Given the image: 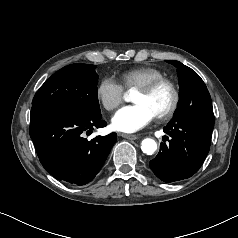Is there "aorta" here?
<instances>
[{
	"mask_svg": "<svg viewBox=\"0 0 238 238\" xmlns=\"http://www.w3.org/2000/svg\"><path fill=\"white\" fill-rule=\"evenodd\" d=\"M141 150L147 155H152L157 150V143L152 138H145L141 142Z\"/></svg>",
	"mask_w": 238,
	"mask_h": 238,
	"instance_id": "1",
	"label": "aorta"
}]
</instances>
